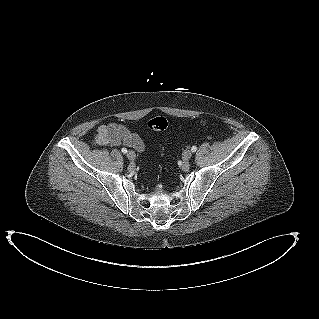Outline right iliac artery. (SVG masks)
I'll list each match as a JSON object with an SVG mask.
<instances>
[{"mask_svg": "<svg viewBox=\"0 0 319 319\" xmlns=\"http://www.w3.org/2000/svg\"><path fill=\"white\" fill-rule=\"evenodd\" d=\"M121 151H122V153H124V154L127 153V149H126V148H122Z\"/></svg>", "mask_w": 319, "mask_h": 319, "instance_id": "right-iliac-artery-1", "label": "right iliac artery"}]
</instances>
